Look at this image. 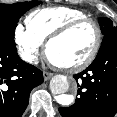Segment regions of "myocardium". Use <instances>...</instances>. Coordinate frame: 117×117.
<instances>
[{"instance_id":"myocardium-1","label":"myocardium","mask_w":117,"mask_h":117,"mask_svg":"<svg viewBox=\"0 0 117 117\" xmlns=\"http://www.w3.org/2000/svg\"><path fill=\"white\" fill-rule=\"evenodd\" d=\"M84 24H91L96 31V40H95V44L94 47L92 49V51L90 52V54L82 61L70 65V66H61V65H57L55 63H53L50 58H49V50H50V46L57 40L65 37L66 35H68L70 32H72L73 30H75L77 27L84 25ZM102 30L100 25L92 18H82V19H77L74 21H71L67 24H65L64 26H62L61 28H59L57 31H55L53 34H51L45 43V55L48 59V61L55 67L65 71V72H79L84 70L85 68H87L89 65H91L93 63V61L96 59L99 50L101 48V44H102Z\"/></svg>"}]
</instances>
